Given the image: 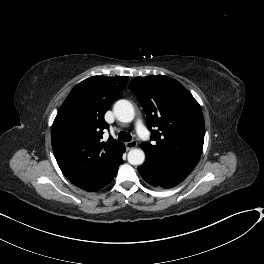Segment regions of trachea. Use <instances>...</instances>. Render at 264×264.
I'll list each match as a JSON object with an SVG mask.
<instances>
[{"label":"trachea","instance_id":"trachea-1","mask_svg":"<svg viewBox=\"0 0 264 264\" xmlns=\"http://www.w3.org/2000/svg\"><path fill=\"white\" fill-rule=\"evenodd\" d=\"M118 139L123 141V142H130L132 137L128 132L121 131L118 134Z\"/></svg>","mask_w":264,"mask_h":264}]
</instances>
